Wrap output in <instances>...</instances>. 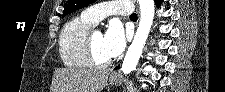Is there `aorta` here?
I'll return each mask as SVG.
<instances>
[{"instance_id": "obj_1", "label": "aorta", "mask_w": 225, "mask_h": 92, "mask_svg": "<svg viewBox=\"0 0 225 92\" xmlns=\"http://www.w3.org/2000/svg\"><path fill=\"white\" fill-rule=\"evenodd\" d=\"M138 1L140 5L139 26L122 64V71L126 75L131 73L137 66L143 47L148 38L155 13L154 0Z\"/></svg>"}]
</instances>
